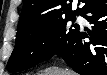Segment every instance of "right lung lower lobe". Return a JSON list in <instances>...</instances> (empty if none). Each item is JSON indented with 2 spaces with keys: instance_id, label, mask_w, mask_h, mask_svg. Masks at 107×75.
<instances>
[{
  "instance_id": "1",
  "label": "right lung lower lobe",
  "mask_w": 107,
  "mask_h": 75,
  "mask_svg": "<svg viewBox=\"0 0 107 75\" xmlns=\"http://www.w3.org/2000/svg\"><path fill=\"white\" fill-rule=\"evenodd\" d=\"M80 14L94 26L79 30L56 55L81 75H107V1L86 0Z\"/></svg>"
}]
</instances>
